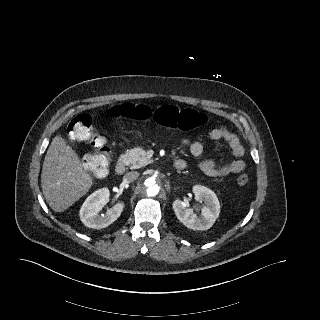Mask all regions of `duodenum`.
Listing matches in <instances>:
<instances>
[{"label":"duodenum","mask_w":320,"mask_h":320,"mask_svg":"<svg viewBox=\"0 0 320 320\" xmlns=\"http://www.w3.org/2000/svg\"><path fill=\"white\" fill-rule=\"evenodd\" d=\"M176 170H183L186 168V163L183 160H176L173 164ZM126 170V164L123 160L117 162L115 171L117 174L122 175Z\"/></svg>","instance_id":"410a0bca"}]
</instances>
